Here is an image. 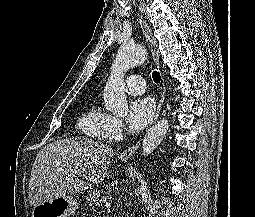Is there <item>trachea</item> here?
Returning <instances> with one entry per match:
<instances>
[{"label": "trachea", "mask_w": 255, "mask_h": 217, "mask_svg": "<svg viewBox=\"0 0 255 217\" xmlns=\"http://www.w3.org/2000/svg\"><path fill=\"white\" fill-rule=\"evenodd\" d=\"M152 78H153V81L155 83H160L161 76H160V73L158 71H153Z\"/></svg>", "instance_id": "1"}]
</instances>
